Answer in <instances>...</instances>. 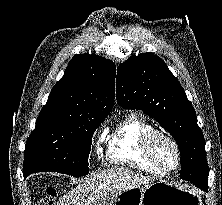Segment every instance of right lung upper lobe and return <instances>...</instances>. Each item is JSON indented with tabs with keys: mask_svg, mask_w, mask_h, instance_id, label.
Here are the masks:
<instances>
[{
	"mask_svg": "<svg viewBox=\"0 0 222 205\" xmlns=\"http://www.w3.org/2000/svg\"><path fill=\"white\" fill-rule=\"evenodd\" d=\"M115 64L95 54L75 55L52 88L38 119H102L113 107Z\"/></svg>",
	"mask_w": 222,
	"mask_h": 205,
	"instance_id": "1",
	"label": "right lung upper lobe"
}]
</instances>
